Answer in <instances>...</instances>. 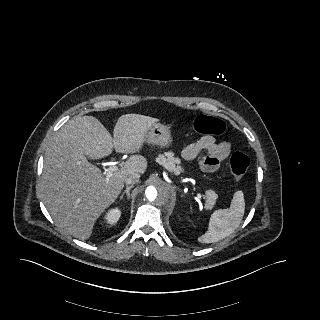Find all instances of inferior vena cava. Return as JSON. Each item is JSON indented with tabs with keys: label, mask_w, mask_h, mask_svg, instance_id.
<instances>
[{
	"label": "inferior vena cava",
	"mask_w": 320,
	"mask_h": 320,
	"mask_svg": "<svg viewBox=\"0 0 320 320\" xmlns=\"http://www.w3.org/2000/svg\"><path fill=\"white\" fill-rule=\"evenodd\" d=\"M139 178H140V174H138V173H132V174H130L129 176H127V177L125 178V183H126L127 185L137 183V182L139 181Z\"/></svg>",
	"instance_id": "602c4592"
}]
</instances>
